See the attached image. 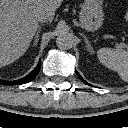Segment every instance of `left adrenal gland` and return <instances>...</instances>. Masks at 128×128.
Here are the masks:
<instances>
[{"instance_id":"left-adrenal-gland-1","label":"left adrenal gland","mask_w":128,"mask_h":128,"mask_svg":"<svg viewBox=\"0 0 128 128\" xmlns=\"http://www.w3.org/2000/svg\"><path fill=\"white\" fill-rule=\"evenodd\" d=\"M81 35H82V36L84 37V39H85L86 47L88 48V50H89L90 52H93V48H92V46H91L89 40L87 39V37H86L83 33H81Z\"/></svg>"}]
</instances>
